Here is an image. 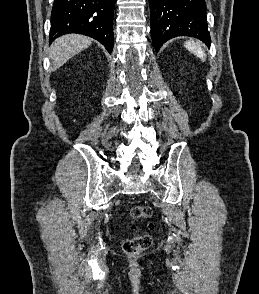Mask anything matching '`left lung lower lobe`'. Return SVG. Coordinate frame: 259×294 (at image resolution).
Returning <instances> with one entry per match:
<instances>
[{
  "instance_id": "0a47b994",
  "label": "left lung lower lobe",
  "mask_w": 259,
  "mask_h": 294,
  "mask_svg": "<svg viewBox=\"0 0 259 294\" xmlns=\"http://www.w3.org/2000/svg\"><path fill=\"white\" fill-rule=\"evenodd\" d=\"M151 37L158 51L171 38L190 36L210 46L205 0H149Z\"/></svg>"
}]
</instances>
